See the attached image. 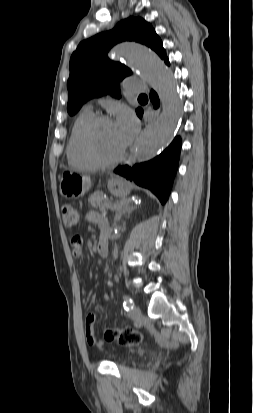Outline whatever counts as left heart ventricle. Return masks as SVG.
<instances>
[{
    "instance_id": "b2bd125f",
    "label": "left heart ventricle",
    "mask_w": 253,
    "mask_h": 413,
    "mask_svg": "<svg viewBox=\"0 0 253 413\" xmlns=\"http://www.w3.org/2000/svg\"><path fill=\"white\" fill-rule=\"evenodd\" d=\"M93 145L98 155L106 159L116 157L124 149L113 122L101 124L95 130Z\"/></svg>"
}]
</instances>
